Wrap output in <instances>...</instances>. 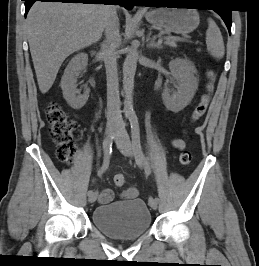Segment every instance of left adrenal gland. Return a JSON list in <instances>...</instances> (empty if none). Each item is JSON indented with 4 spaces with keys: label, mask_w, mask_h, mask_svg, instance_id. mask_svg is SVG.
<instances>
[{
    "label": "left adrenal gland",
    "mask_w": 259,
    "mask_h": 266,
    "mask_svg": "<svg viewBox=\"0 0 259 266\" xmlns=\"http://www.w3.org/2000/svg\"><path fill=\"white\" fill-rule=\"evenodd\" d=\"M151 36V32L149 33L148 37H147V48H157V49H161L162 45H161V40H159L157 43L154 40H151L150 38Z\"/></svg>",
    "instance_id": "a2214340"
}]
</instances>
